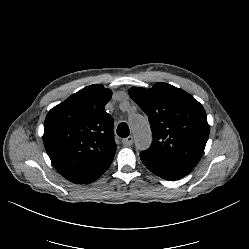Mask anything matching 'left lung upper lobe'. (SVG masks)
I'll return each mask as SVG.
<instances>
[{
  "label": "left lung upper lobe",
  "mask_w": 249,
  "mask_h": 249,
  "mask_svg": "<svg viewBox=\"0 0 249 249\" xmlns=\"http://www.w3.org/2000/svg\"><path fill=\"white\" fill-rule=\"evenodd\" d=\"M130 97L149 116L153 142L140 155L195 167L209 137L203 106L190 94L167 83L151 89L132 87Z\"/></svg>",
  "instance_id": "5c2ea615"
}]
</instances>
